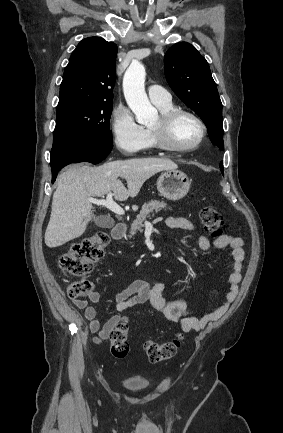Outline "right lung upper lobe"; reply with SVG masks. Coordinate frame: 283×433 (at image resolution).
Instances as JSON below:
<instances>
[{"label":"right lung upper lobe","instance_id":"1","mask_svg":"<svg viewBox=\"0 0 283 433\" xmlns=\"http://www.w3.org/2000/svg\"><path fill=\"white\" fill-rule=\"evenodd\" d=\"M117 52L115 43L100 37L83 39L65 68L57 110L76 104L112 101Z\"/></svg>","mask_w":283,"mask_h":433}]
</instances>
